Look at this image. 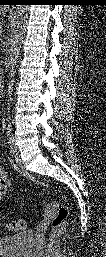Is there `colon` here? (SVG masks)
I'll use <instances>...</instances> for the list:
<instances>
[{"instance_id": "1", "label": "colon", "mask_w": 106, "mask_h": 257, "mask_svg": "<svg viewBox=\"0 0 106 257\" xmlns=\"http://www.w3.org/2000/svg\"><path fill=\"white\" fill-rule=\"evenodd\" d=\"M53 209L51 215L52 224V238L56 239L60 237L66 229V221L68 216V208L66 206L49 207ZM28 226V220L26 218H20L18 220L5 223V227L10 231H21Z\"/></svg>"}]
</instances>
